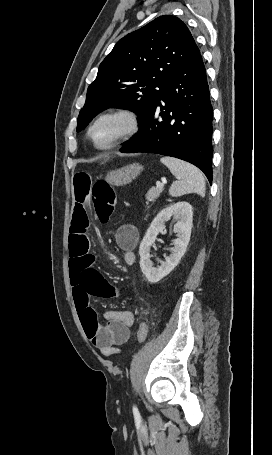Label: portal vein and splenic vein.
Segmentation results:
<instances>
[{"mask_svg":"<svg viewBox=\"0 0 272 455\" xmlns=\"http://www.w3.org/2000/svg\"><path fill=\"white\" fill-rule=\"evenodd\" d=\"M163 186H164V183H160L159 182V183L156 184V187H158V188H163Z\"/></svg>","mask_w":272,"mask_h":455,"instance_id":"obj_1","label":"portal vein and splenic vein"}]
</instances>
